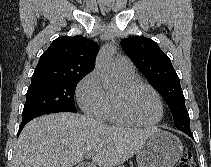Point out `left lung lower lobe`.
Returning <instances> with one entry per match:
<instances>
[{"mask_svg":"<svg viewBox=\"0 0 211 167\" xmlns=\"http://www.w3.org/2000/svg\"><path fill=\"white\" fill-rule=\"evenodd\" d=\"M182 132L186 133L188 136L193 137V135H192V133H191V130L182 131Z\"/></svg>","mask_w":211,"mask_h":167,"instance_id":"1","label":"left lung lower lobe"}]
</instances>
